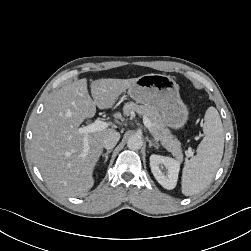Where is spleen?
Wrapping results in <instances>:
<instances>
[{"label":"spleen","instance_id":"3e777b00","mask_svg":"<svg viewBox=\"0 0 251 251\" xmlns=\"http://www.w3.org/2000/svg\"><path fill=\"white\" fill-rule=\"evenodd\" d=\"M204 138L196 156L188 160L182 172V193L192 196L210 183L219 168L224 149V130L215 107H209L204 116Z\"/></svg>","mask_w":251,"mask_h":251}]
</instances>
